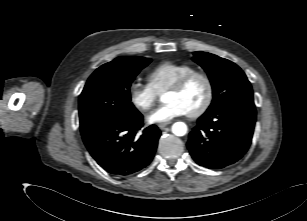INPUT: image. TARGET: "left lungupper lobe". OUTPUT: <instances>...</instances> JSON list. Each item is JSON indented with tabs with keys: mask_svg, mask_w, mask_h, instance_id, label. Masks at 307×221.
Masks as SVG:
<instances>
[{
	"mask_svg": "<svg viewBox=\"0 0 307 221\" xmlns=\"http://www.w3.org/2000/svg\"><path fill=\"white\" fill-rule=\"evenodd\" d=\"M193 60L204 68L212 85L213 100L207 111L234 101H253L250 82L236 64L207 52H195Z\"/></svg>",
	"mask_w": 307,
	"mask_h": 221,
	"instance_id": "obj_1",
	"label": "left lung upper lobe"
}]
</instances>
